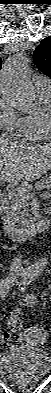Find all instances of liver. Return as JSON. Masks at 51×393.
<instances>
[{"label": "liver", "mask_w": 51, "mask_h": 393, "mask_svg": "<svg viewBox=\"0 0 51 393\" xmlns=\"http://www.w3.org/2000/svg\"><path fill=\"white\" fill-rule=\"evenodd\" d=\"M51 168V146L17 144L0 138V179L32 181Z\"/></svg>", "instance_id": "1"}]
</instances>
